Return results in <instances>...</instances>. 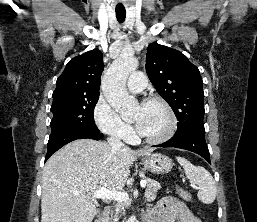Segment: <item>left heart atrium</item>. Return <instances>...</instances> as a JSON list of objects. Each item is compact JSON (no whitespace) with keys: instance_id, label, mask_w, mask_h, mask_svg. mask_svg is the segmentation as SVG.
<instances>
[{"instance_id":"left-heart-atrium-1","label":"left heart atrium","mask_w":257,"mask_h":222,"mask_svg":"<svg viewBox=\"0 0 257 222\" xmlns=\"http://www.w3.org/2000/svg\"><path fill=\"white\" fill-rule=\"evenodd\" d=\"M140 123H136V127H137V129H138V131H139V129H140Z\"/></svg>"}]
</instances>
